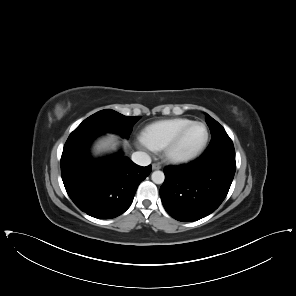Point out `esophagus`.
Listing matches in <instances>:
<instances>
[{"mask_svg": "<svg viewBox=\"0 0 296 296\" xmlns=\"http://www.w3.org/2000/svg\"><path fill=\"white\" fill-rule=\"evenodd\" d=\"M159 169H161V165L160 164H158V163L152 164V170H159Z\"/></svg>", "mask_w": 296, "mask_h": 296, "instance_id": "obj_1", "label": "esophagus"}]
</instances>
